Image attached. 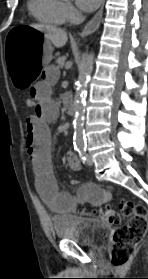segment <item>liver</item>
Listing matches in <instances>:
<instances>
[{
	"label": "liver",
	"mask_w": 148,
	"mask_h": 279,
	"mask_svg": "<svg viewBox=\"0 0 148 279\" xmlns=\"http://www.w3.org/2000/svg\"><path fill=\"white\" fill-rule=\"evenodd\" d=\"M30 27L44 33L46 39L57 48L63 47L68 40L67 33L61 28L41 24H33Z\"/></svg>",
	"instance_id": "obj_1"
}]
</instances>
